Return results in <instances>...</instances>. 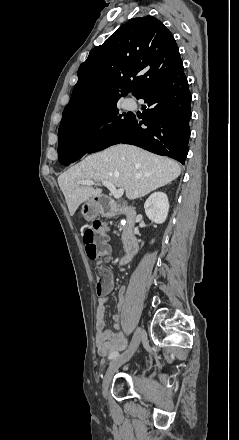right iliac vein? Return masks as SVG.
<instances>
[{"mask_svg": "<svg viewBox=\"0 0 239 440\" xmlns=\"http://www.w3.org/2000/svg\"><path fill=\"white\" fill-rule=\"evenodd\" d=\"M143 335V330L142 328H137L133 338L131 340V343L128 347V349L123 352L121 355H119L118 357H116L109 365L104 379H103V383H102V390H103V395L106 396L108 393V388L110 385V382L112 380V377L114 375V373L119 369L120 366H122L123 364H125L126 362H128L130 360V358L133 356V354L135 353V351L137 350L141 338Z\"/></svg>", "mask_w": 239, "mask_h": 440, "instance_id": "obj_1", "label": "right iliac vein"}]
</instances>
